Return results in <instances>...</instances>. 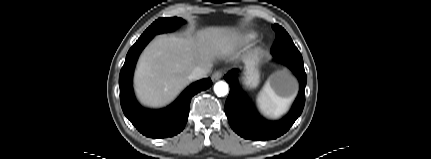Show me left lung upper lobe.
<instances>
[{"label":"left lung upper lobe","instance_id":"left-lung-upper-lobe-1","mask_svg":"<svg viewBox=\"0 0 431 159\" xmlns=\"http://www.w3.org/2000/svg\"><path fill=\"white\" fill-rule=\"evenodd\" d=\"M272 28L276 32V41L272 47L271 53L273 56L277 55H294L301 56L300 52L294 45L289 34L280 25L275 24Z\"/></svg>","mask_w":431,"mask_h":159}]
</instances>
